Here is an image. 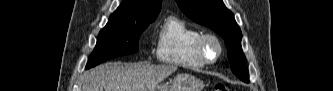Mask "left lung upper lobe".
<instances>
[{
    "instance_id": "obj_1",
    "label": "left lung upper lobe",
    "mask_w": 333,
    "mask_h": 91,
    "mask_svg": "<svg viewBox=\"0 0 333 91\" xmlns=\"http://www.w3.org/2000/svg\"><path fill=\"white\" fill-rule=\"evenodd\" d=\"M185 15L194 22L216 31L225 40L233 73L249 82L246 58L241 47L242 33L233 13L222 0H175Z\"/></svg>"
}]
</instances>
